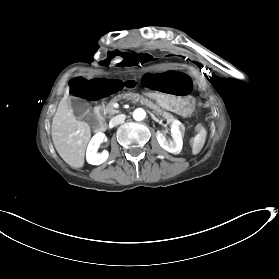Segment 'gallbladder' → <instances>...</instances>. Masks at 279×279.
I'll list each match as a JSON object with an SVG mask.
<instances>
[{"mask_svg": "<svg viewBox=\"0 0 279 279\" xmlns=\"http://www.w3.org/2000/svg\"><path fill=\"white\" fill-rule=\"evenodd\" d=\"M70 105L73 110V114L78 120H84L86 122L91 120L90 124L94 128L100 126V119L97 117L93 118L94 114L90 111L89 105L85 100L72 97L70 99Z\"/></svg>", "mask_w": 279, "mask_h": 279, "instance_id": "1", "label": "gallbladder"}]
</instances>
